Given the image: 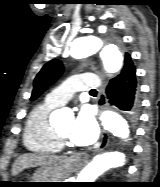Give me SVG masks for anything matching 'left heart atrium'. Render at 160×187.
Listing matches in <instances>:
<instances>
[{
  "label": "left heart atrium",
  "instance_id": "obj_1",
  "mask_svg": "<svg viewBox=\"0 0 160 187\" xmlns=\"http://www.w3.org/2000/svg\"><path fill=\"white\" fill-rule=\"evenodd\" d=\"M98 136L99 129L95 119L88 110H81L72 125L71 141L79 146H87L93 144Z\"/></svg>",
  "mask_w": 160,
  "mask_h": 187
}]
</instances>
